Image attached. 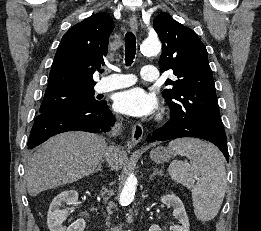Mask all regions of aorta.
I'll list each match as a JSON object with an SVG mask.
<instances>
[{
	"label": "aorta",
	"instance_id": "762f6f07",
	"mask_svg": "<svg viewBox=\"0 0 261 231\" xmlns=\"http://www.w3.org/2000/svg\"><path fill=\"white\" fill-rule=\"evenodd\" d=\"M141 51L146 56L157 55L161 51V44L158 40H145L141 45ZM137 185V178L130 174L124 183L120 194V203L126 206L134 199Z\"/></svg>",
	"mask_w": 261,
	"mask_h": 231
}]
</instances>
